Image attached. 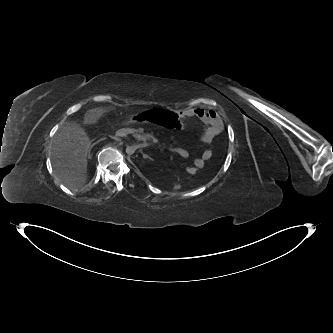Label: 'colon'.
Masks as SVG:
<instances>
[{
  "label": "colon",
  "mask_w": 333,
  "mask_h": 333,
  "mask_svg": "<svg viewBox=\"0 0 333 333\" xmlns=\"http://www.w3.org/2000/svg\"><path fill=\"white\" fill-rule=\"evenodd\" d=\"M147 122L151 125L159 124L164 129H173L175 127L180 128L178 116L171 112L165 110H158L156 108H151L144 113L141 111H136L133 114H128L124 118V123L128 127H133L136 124H141ZM185 172L193 175L196 172L195 167L190 166L185 169Z\"/></svg>",
  "instance_id": "1"
}]
</instances>
